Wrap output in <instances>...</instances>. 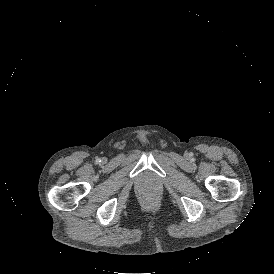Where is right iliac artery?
I'll return each mask as SVG.
<instances>
[{
    "label": "right iliac artery",
    "mask_w": 274,
    "mask_h": 274,
    "mask_svg": "<svg viewBox=\"0 0 274 274\" xmlns=\"http://www.w3.org/2000/svg\"><path fill=\"white\" fill-rule=\"evenodd\" d=\"M96 162H101V159H100V158H97V159H96Z\"/></svg>",
    "instance_id": "82829eb1"
}]
</instances>
